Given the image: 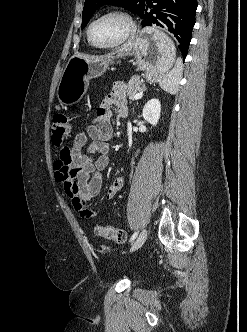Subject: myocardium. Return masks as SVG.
<instances>
[{
  "instance_id": "1",
  "label": "myocardium",
  "mask_w": 247,
  "mask_h": 332,
  "mask_svg": "<svg viewBox=\"0 0 247 332\" xmlns=\"http://www.w3.org/2000/svg\"><path fill=\"white\" fill-rule=\"evenodd\" d=\"M107 16H117V17H120V18L124 19L127 23L126 32L124 33V35L119 40H117L114 43L105 44V45L97 44L92 40V37H91L92 26L99 19L107 17ZM135 31H136V24H135L134 20L132 19V17L128 13H126L124 11H120V10H109V11H106V12L98 15L97 17H95L89 23V25L87 27V39H88V42L96 48H99V49H114V48L120 47L123 44H125L134 35Z\"/></svg>"
}]
</instances>
